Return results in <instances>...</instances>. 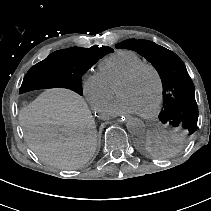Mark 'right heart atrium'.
<instances>
[{"label": "right heart atrium", "mask_w": 211, "mask_h": 211, "mask_svg": "<svg viewBox=\"0 0 211 211\" xmlns=\"http://www.w3.org/2000/svg\"><path fill=\"white\" fill-rule=\"evenodd\" d=\"M82 90L93 110L104 111L113 98V89L100 73H93L83 79Z\"/></svg>", "instance_id": "1"}]
</instances>
